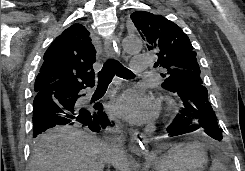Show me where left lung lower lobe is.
I'll return each mask as SVG.
<instances>
[{
    "label": "left lung lower lobe",
    "mask_w": 245,
    "mask_h": 171,
    "mask_svg": "<svg viewBox=\"0 0 245 171\" xmlns=\"http://www.w3.org/2000/svg\"><path fill=\"white\" fill-rule=\"evenodd\" d=\"M184 107L167 127L170 136H178L203 128L215 140L223 139L214 110L208 100V91L203 84L185 83L176 91Z\"/></svg>",
    "instance_id": "left-lung-lower-lobe-1"
}]
</instances>
